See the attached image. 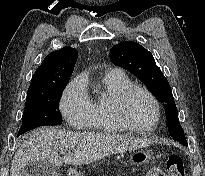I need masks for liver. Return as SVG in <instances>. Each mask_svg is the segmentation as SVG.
Listing matches in <instances>:
<instances>
[{"instance_id": "liver-1", "label": "liver", "mask_w": 205, "mask_h": 176, "mask_svg": "<svg viewBox=\"0 0 205 176\" xmlns=\"http://www.w3.org/2000/svg\"><path fill=\"white\" fill-rule=\"evenodd\" d=\"M119 135L81 133L53 128H41L27 134L17 149L11 163V176H21L22 169L30 162L46 161L56 166L84 165L109 155L149 145ZM69 151L61 157L59 151Z\"/></svg>"}]
</instances>
